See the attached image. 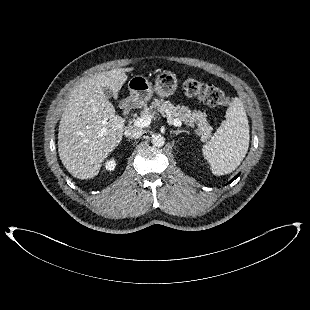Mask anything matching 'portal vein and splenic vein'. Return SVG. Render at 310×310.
Wrapping results in <instances>:
<instances>
[{"label":"portal vein and splenic vein","instance_id":"18ae733b","mask_svg":"<svg viewBox=\"0 0 310 310\" xmlns=\"http://www.w3.org/2000/svg\"><path fill=\"white\" fill-rule=\"evenodd\" d=\"M151 120L152 118L150 116L141 117V118L134 120V125L138 128H144L150 125ZM171 122L176 127H180L182 125V122L178 119H174ZM104 132L105 130L102 129L101 132L99 133V136H103Z\"/></svg>","mask_w":310,"mask_h":310}]
</instances>
